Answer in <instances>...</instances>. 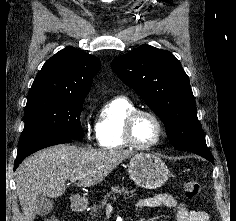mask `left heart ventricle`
I'll return each mask as SVG.
<instances>
[{"label": "left heart ventricle", "instance_id": "1", "mask_svg": "<svg viewBox=\"0 0 236 221\" xmlns=\"http://www.w3.org/2000/svg\"><path fill=\"white\" fill-rule=\"evenodd\" d=\"M133 134L136 142L148 145L156 140L158 127L156 122L147 115L140 116L134 124Z\"/></svg>", "mask_w": 236, "mask_h": 221}]
</instances>
